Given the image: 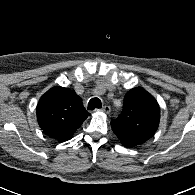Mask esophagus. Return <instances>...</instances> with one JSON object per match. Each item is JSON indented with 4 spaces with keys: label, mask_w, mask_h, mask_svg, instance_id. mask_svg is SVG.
I'll return each mask as SVG.
<instances>
[{
    "label": "esophagus",
    "mask_w": 195,
    "mask_h": 195,
    "mask_svg": "<svg viewBox=\"0 0 195 195\" xmlns=\"http://www.w3.org/2000/svg\"><path fill=\"white\" fill-rule=\"evenodd\" d=\"M100 111H102V112H104V113H106V114H109L110 113V111H111V108H110V106H108V105H105V106H103L101 109H99Z\"/></svg>",
    "instance_id": "1"
}]
</instances>
